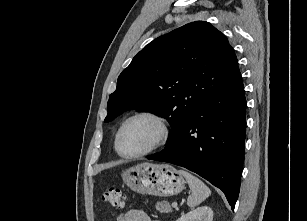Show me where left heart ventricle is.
Segmentation results:
<instances>
[{"label": "left heart ventricle", "instance_id": "b2bd125f", "mask_svg": "<svg viewBox=\"0 0 307 221\" xmlns=\"http://www.w3.org/2000/svg\"><path fill=\"white\" fill-rule=\"evenodd\" d=\"M158 135V127L150 119L139 118L131 121L120 138V149L126 154H135L149 148Z\"/></svg>", "mask_w": 307, "mask_h": 221}]
</instances>
